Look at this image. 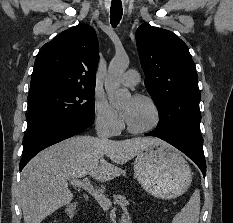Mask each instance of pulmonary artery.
I'll return each instance as SVG.
<instances>
[{"mask_svg": "<svg viewBox=\"0 0 233 223\" xmlns=\"http://www.w3.org/2000/svg\"><path fill=\"white\" fill-rule=\"evenodd\" d=\"M139 77H140V75H139L137 70L130 69L123 75L121 82L125 86L132 87V86H135L138 84Z\"/></svg>", "mask_w": 233, "mask_h": 223, "instance_id": "e3ab8cb5", "label": "pulmonary artery"}]
</instances>
